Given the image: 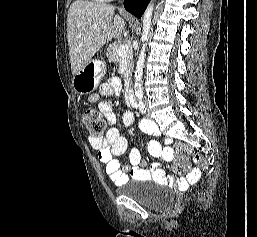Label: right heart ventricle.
Wrapping results in <instances>:
<instances>
[{
    "instance_id": "right-heart-ventricle-1",
    "label": "right heart ventricle",
    "mask_w": 257,
    "mask_h": 237,
    "mask_svg": "<svg viewBox=\"0 0 257 237\" xmlns=\"http://www.w3.org/2000/svg\"><path fill=\"white\" fill-rule=\"evenodd\" d=\"M93 2H96V3H100V2H105V1H109V0H92Z\"/></svg>"
}]
</instances>
